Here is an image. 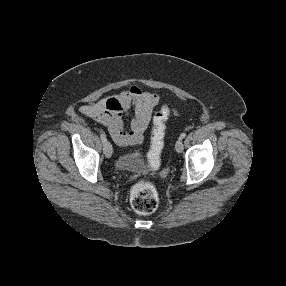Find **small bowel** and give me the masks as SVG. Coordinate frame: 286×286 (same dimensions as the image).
<instances>
[{"label": "small bowel", "mask_w": 286, "mask_h": 286, "mask_svg": "<svg viewBox=\"0 0 286 286\" xmlns=\"http://www.w3.org/2000/svg\"><path fill=\"white\" fill-rule=\"evenodd\" d=\"M159 101L157 93L132 85L116 95L84 106L82 113L104 125L113 141L125 148L142 142L143 133ZM126 117H130L128 126L125 125Z\"/></svg>", "instance_id": "small-bowel-1"}]
</instances>
